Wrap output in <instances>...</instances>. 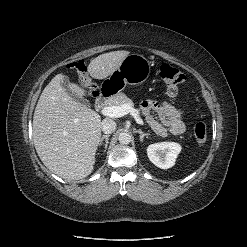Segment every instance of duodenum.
Listing matches in <instances>:
<instances>
[{"label":"duodenum","mask_w":247,"mask_h":247,"mask_svg":"<svg viewBox=\"0 0 247 247\" xmlns=\"http://www.w3.org/2000/svg\"><path fill=\"white\" fill-rule=\"evenodd\" d=\"M111 93L108 91H104L102 93H100L95 100V106L97 109H101L102 107H104L106 105V103L108 102V99L110 97Z\"/></svg>","instance_id":"duodenum-1"}]
</instances>
